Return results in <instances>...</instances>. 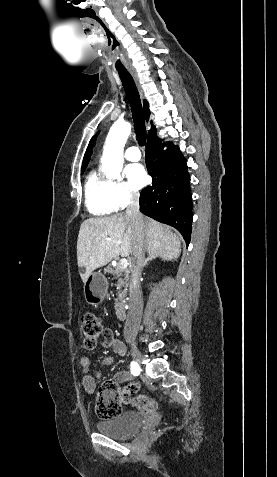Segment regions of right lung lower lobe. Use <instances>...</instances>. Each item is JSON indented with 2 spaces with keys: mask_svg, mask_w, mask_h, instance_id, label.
Here are the masks:
<instances>
[{
  "mask_svg": "<svg viewBox=\"0 0 277 477\" xmlns=\"http://www.w3.org/2000/svg\"><path fill=\"white\" fill-rule=\"evenodd\" d=\"M168 146L164 151L158 137L146 144V165L153 182L140 194V211L176 228L188 245L193 220L190 175L178 146Z\"/></svg>",
  "mask_w": 277,
  "mask_h": 477,
  "instance_id": "98d812e1",
  "label": "right lung lower lobe"
}]
</instances>
